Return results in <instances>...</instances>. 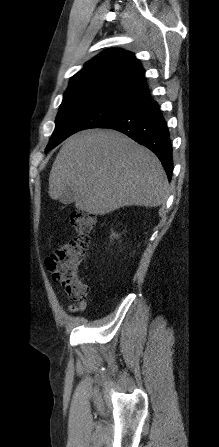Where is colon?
<instances>
[{
    "label": "colon",
    "mask_w": 219,
    "mask_h": 447,
    "mask_svg": "<svg viewBox=\"0 0 219 447\" xmlns=\"http://www.w3.org/2000/svg\"><path fill=\"white\" fill-rule=\"evenodd\" d=\"M70 222L77 235L54 250L47 259V267L53 280L64 287L72 302H84L88 288L80 279L79 269L86 254L95 219L78 211L71 214Z\"/></svg>",
    "instance_id": "obj_1"
}]
</instances>
